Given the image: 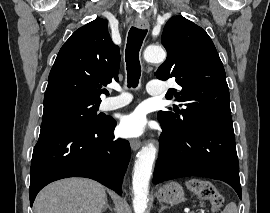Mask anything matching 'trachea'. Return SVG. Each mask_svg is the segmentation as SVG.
<instances>
[{
	"label": "trachea",
	"mask_w": 270,
	"mask_h": 213,
	"mask_svg": "<svg viewBox=\"0 0 270 213\" xmlns=\"http://www.w3.org/2000/svg\"><path fill=\"white\" fill-rule=\"evenodd\" d=\"M147 34L146 29L131 27L128 33L127 46L125 50V61L127 65L128 87H137L141 75L139 51Z\"/></svg>",
	"instance_id": "3493384b"
}]
</instances>
